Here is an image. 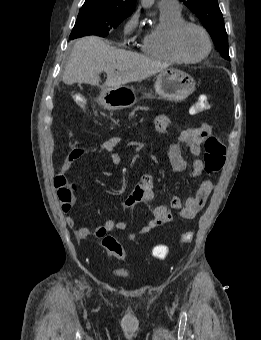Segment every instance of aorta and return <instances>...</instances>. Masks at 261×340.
Wrapping results in <instances>:
<instances>
[{
    "label": "aorta",
    "mask_w": 261,
    "mask_h": 340,
    "mask_svg": "<svg viewBox=\"0 0 261 340\" xmlns=\"http://www.w3.org/2000/svg\"><path fill=\"white\" fill-rule=\"evenodd\" d=\"M153 3H154V0H142V4L145 7H151Z\"/></svg>",
    "instance_id": "obj_1"
}]
</instances>
